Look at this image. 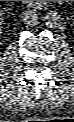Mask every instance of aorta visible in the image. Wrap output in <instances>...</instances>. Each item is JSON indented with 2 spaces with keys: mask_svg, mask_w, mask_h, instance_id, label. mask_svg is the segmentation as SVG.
<instances>
[{
  "mask_svg": "<svg viewBox=\"0 0 74 122\" xmlns=\"http://www.w3.org/2000/svg\"><path fill=\"white\" fill-rule=\"evenodd\" d=\"M57 15L54 13V12H50L47 14L46 16V23L49 25V26H54L57 24V20L58 18L56 17Z\"/></svg>",
  "mask_w": 74,
  "mask_h": 122,
  "instance_id": "762f6f07",
  "label": "aorta"
}]
</instances>
